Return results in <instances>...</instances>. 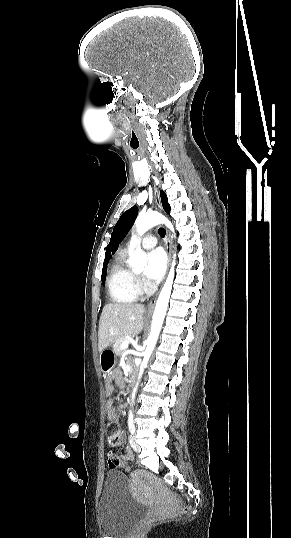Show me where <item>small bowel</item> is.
<instances>
[{
  "label": "small bowel",
  "instance_id": "1",
  "mask_svg": "<svg viewBox=\"0 0 291 538\" xmlns=\"http://www.w3.org/2000/svg\"><path fill=\"white\" fill-rule=\"evenodd\" d=\"M113 380H114L115 384L119 388H124L125 387V380L119 374L116 373L114 375V377H113ZM113 392H114V385L112 384V380L108 379L107 382H106V385H105V393H106L107 396H111L113 394ZM106 413H107V417L109 419H111V420H115L118 417V412H117L116 407H115V405H114V403H113V401L111 399H109L107 401ZM122 441H123V438H122L121 442L118 443L117 446L121 445ZM119 458L120 459H125V460L132 459L133 458V453H132L131 449L129 447H127L125 449L124 454ZM109 466L112 469L116 468L115 466L110 465V463H109Z\"/></svg>",
  "mask_w": 291,
  "mask_h": 538
}]
</instances>
